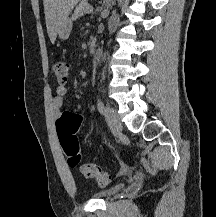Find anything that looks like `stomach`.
<instances>
[{
	"label": "stomach",
	"mask_w": 216,
	"mask_h": 217,
	"mask_svg": "<svg viewBox=\"0 0 216 217\" xmlns=\"http://www.w3.org/2000/svg\"><path fill=\"white\" fill-rule=\"evenodd\" d=\"M71 30H72V20L70 18H67L63 22L62 26L60 27L57 35L59 36L60 39L66 40L68 39Z\"/></svg>",
	"instance_id": "1"
}]
</instances>
